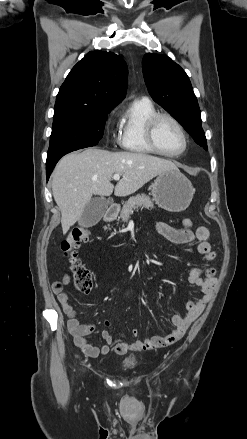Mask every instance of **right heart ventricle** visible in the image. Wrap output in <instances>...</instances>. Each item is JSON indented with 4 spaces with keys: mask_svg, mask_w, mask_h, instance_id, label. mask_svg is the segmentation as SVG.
<instances>
[{
    "mask_svg": "<svg viewBox=\"0 0 247 439\" xmlns=\"http://www.w3.org/2000/svg\"><path fill=\"white\" fill-rule=\"evenodd\" d=\"M158 111L148 99L135 100L122 114L119 145L136 153H155L146 140V124Z\"/></svg>",
    "mask_w": 247,
    "mask_h": 439,
    "instance_id": "1",
    "label": "right heart ventricle"
}]
</instances>
